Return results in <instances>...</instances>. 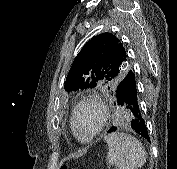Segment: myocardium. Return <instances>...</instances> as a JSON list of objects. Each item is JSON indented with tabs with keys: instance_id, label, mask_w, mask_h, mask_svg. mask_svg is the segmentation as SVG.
<instances>
[{
	"instance_id": "obj_1",
	"label": "myocardium",
	"mask_w": 177,
	"mask_h": 169,
	"mask_svg": "<svg viewBox=\"0 0 177 169\" xmlns=\"http://www.w3.org/2000/svg\"><path fill=\"white\" fill-rule=\"evenodd\" d=\"M85 105H91L94 108H96L100 116L98 127L96 128L95 131H93L90 135H87V136L82 135L79 132L77 125H76L77 113ZM108 117H109L108 110L106 106L104 105V103H102L99 98H97L94 95L84 96L76 103V105L74 106L72 110L71 118H70V125H71L72 132L79 140L89 142L103 131V129L107 125Z\"/></svg>"
}]
</instances>
